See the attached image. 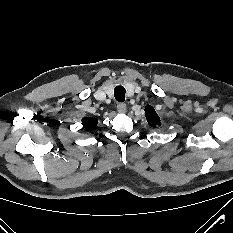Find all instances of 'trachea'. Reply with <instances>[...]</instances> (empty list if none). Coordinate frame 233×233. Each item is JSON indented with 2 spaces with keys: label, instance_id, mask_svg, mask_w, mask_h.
<instances>
[{
  "label": "trachea",
  "instance_id": "trachea-1",
  "mask_svg": "<svg viewBox=\"0 0 233 233\" xmlns=\"http://www.w3.org/2000/svg\"><path fill=\"white\" fill-rule=\"evenodd\" d=\"M114 96L118 102L125 101V88L123 86H116L114 89Z\"/></svg>",
  "mask_w": 233,
  "mask_h": 233
}]
</instances>
